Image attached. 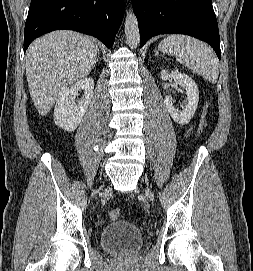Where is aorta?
Segmentation results:
<instances>
[{
	"mask_svg": "<svg viewBox=\"0 0 253 271\" xmlns=\"http://www.w3.org/2000/svg\"><path fill=\"white\" fill-rule=\"evenodd\" d=\"M125 35H126L127 44L131 49H134L139 45L140 33H139L138 21L132 9H130L126 13Z\"/></svg>",
	"mask_w": 253,
	"mask_h": 271,
	"instance_id": "762f6f07",
	"label": "aorta"
}]
</instances>
